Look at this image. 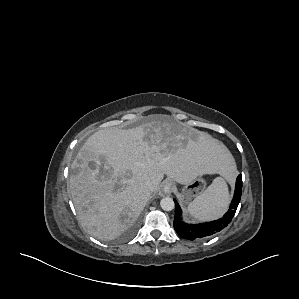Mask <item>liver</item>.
<instances>
[{
  "instance_id": "obj_1",
  "label": "liver",
  "mask_w": 299,
  "mask_h": 299,
  "mask_svg": "<svg viewBox=\"0 0 299 299\" xmlns=\"http://www.w3.org/2000/svg\"><path fill=\"white\" fill-rule=\"evenodd\" d=\"M233 164L218 140L155 116L135 128L91 135L71 164L69 189L81 225L113 239L136 220L164 174L185 185L203 174L227 176Z\"/></svg>"
}]
</instances>
